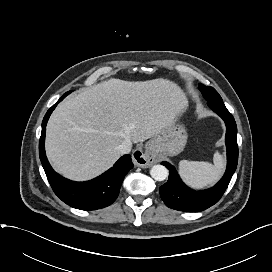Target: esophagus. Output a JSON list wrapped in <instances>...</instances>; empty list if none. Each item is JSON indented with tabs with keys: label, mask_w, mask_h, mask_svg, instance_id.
Here are the masks:
<instances>
[{
	"label": "esophagus",
	"mask_w": 272,
	"mask_h": 272,
	"mask_svg": "<svg viewBox=\"0 0 272 272\" xmlns=\"http://www.w3.org/2000/svg\"><path fill=\"white\" fill-rule=\"evenodd\" d=\"M132 158L134 164L141 168H148L157 161L156 156L148 148L145 150L136 149L132 154Z\"/></svg>",
	"instance_id": "34e87169"
}]
</instances>
